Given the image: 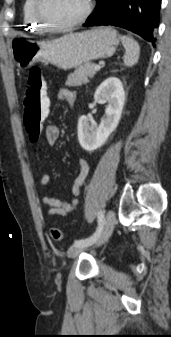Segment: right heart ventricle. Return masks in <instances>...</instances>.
Wrapping results in <instances>:
<instances>
[{
    "label": "right heart ventricle",
    "mask_w": 171,
    "mask_h": 337,
    "mask_svg": "<svg viewBox=\"0 0 171 337\" xmlns=\"http://www.w3.org/2000/svg\"><path fill=\"white\" fill-rule=\"evenodd\" d=\"M36 0H24L22 4L23 26L27 30L38 32L46 31V28L38 21L35 13Z\"/></svg>",
    "instance_id": "e07e8e85"
}]
</instances>
